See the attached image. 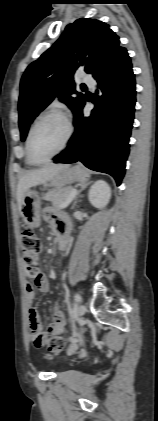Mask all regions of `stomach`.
<instances>
[{
    "label": "stomach",
    "mask_w": 158,
    "mask_h": 421,
    "mask_svg": "<svg viewBox=\"0 0 158 421\" xmlns=\"http://www.w3.org/2000/svg\"><path fill=\"white\" fill-rule=\"evenodd\" d=\"M89 177V172L80 164L74 166L69 165L56 173L50 180V185L54 187H63L74 182L84 183ZM20 215L27 226L36 228L40 225V197L36 191L27 190L24 194Z\"/></svg>",
    "instance_id": "stomach-1"
}]
</instances>
